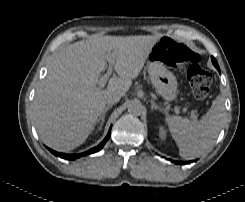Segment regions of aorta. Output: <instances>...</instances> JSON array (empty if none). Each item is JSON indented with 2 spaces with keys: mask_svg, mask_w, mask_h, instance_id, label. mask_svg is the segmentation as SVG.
Listing matches in <instances>:
<instances>
[{
  "mask_svg": "<svg viewBox=\"0 0 245 202\" xmlns=\"http://www.w3.org/2000/svg\"><path fill=\"white\" fill-rule=\"evenodd\" d=\"M128 112L133 115H140L143 111V105L139 100H132L128 103Z\"/></svg>",
  "mask_w": 245,
  "mask_h": 202,
  "instance_id": "obj_1",
  "label": "aorta"
}]
</instances>
